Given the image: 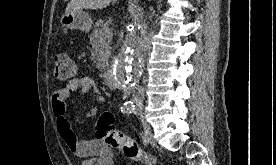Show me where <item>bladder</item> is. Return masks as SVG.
<instances>
[{
  "label": "bladder",
  "instance_id": "31cf9c89",
  "mask_svg": "<svg viewBox=\"0 0 276 165\" xmlns=\"http://www.w3.org/2000/svg\"><path fill=\"white\" fill-rule=\"evenodd\" d=\"M122 165H130V164H122Z\"/></svg>",
  "mask_w": 276,
  "mask_h": 165
}]
</instances>
